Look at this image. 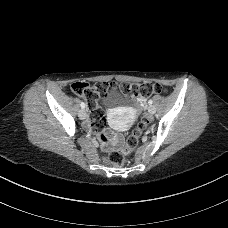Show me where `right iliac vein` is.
I'll use <instances>...</instances> for the list:
<instances>
[{"label": "right iliac vein", "mask_w": 228, "mask_h": 228, "mask_svg": "<svg viewBox=\"0 0 228 228\" xmlns=\"http://www.w3.org/2000/svg\"><path fill=\"white\" fill-rule=\"evenodd\" d=\"M78 116L81 120H84L86 118V112L85 110L81 109L78 113Z\"/></svg>", "instance_id": "1"}]
</instances>
